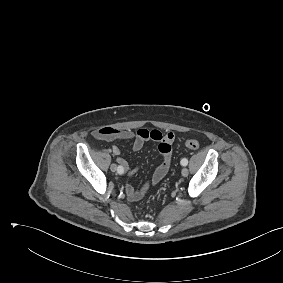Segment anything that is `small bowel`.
Here are the masks:
<instances>
[{
  "instance_id": "small-bowel-1",
  "label": "small bowel",
  "mask_w": 283,
  "mask_h": 283,
  "mask_svg": "<svg viewBox=\"0 0 283 283\" xmlns=\"http://www.w3.org/2000/svg\"><path fill=\"white\" fill-rule=\"evenodd\" d=\"M94 138L102 141H116L127 140L131 141L132 148L135 151H139L143 148L144 144L148 140H154L159 142L158 148L161 155V163L152 174L149 180H147L141 187L134 188L130 185H125V192L127 198L132 201L139 200L144 196L147 190L159 183L167 174L170 161H171V149L172 144L175 141V136L172 132L162 133L159 130H148L145 128L138 129L133 132L131 130H121L112 127H103L93 132ZM111 152L116 156L117 162L124 168V173L128 176H132L137 172V169H131L128 163L121 157L120 148L117 145H112Z\"/></svg>"
}]
</instances>
